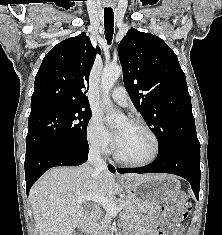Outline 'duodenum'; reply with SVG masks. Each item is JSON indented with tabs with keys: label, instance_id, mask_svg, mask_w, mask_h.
<instances>
[{
	"label": "duodenum",
	"instance_id": "410a0bca",
	"mask_svg": "<svg viewBox=\"0 0 222 235\" xmlns=\"http://www.w3.org/2000/svg\"><path fill=\"white\" fill-rule=\"evenodd\" d=\"M98 214H99V209H98V208H94V209L92 210L91 217H95V216L98 215ZM82 228H83V231H84L85 235H92L91 232H90V226H89V224H84V225L82 226Z\"/></svg>",
	"mask_w": 222,
	"mask_h": 235
}]
</instances>
